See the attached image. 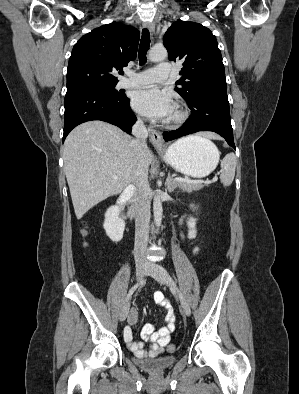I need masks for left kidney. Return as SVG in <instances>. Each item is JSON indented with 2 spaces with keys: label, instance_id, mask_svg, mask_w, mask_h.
<instances>
[{
  "label": "left kidney",
  "instance_id": "left-kidney-1",
  "mask_svg": "<svg viewBox=\"0 0 299 394\" xmlns=\"http://www.w3.org/2000/svg\"><path fill=\"white\" fill-rule=\"evenodd\" d=\"M190 207H192L193 208V205H191ZM195 221H196V219H194V218H190L189 219V221H188V226L189 227H194L195 226Z\"/></svg>",
  "mask_w": 299,
  "mask_h": 394
}]
</instances>
